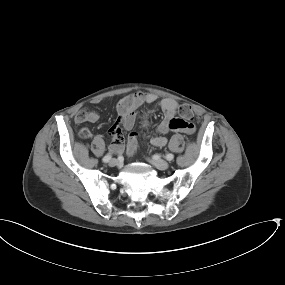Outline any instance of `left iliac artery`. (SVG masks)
Listing matches in <instances>:
<instances>
[{
	"label": "left iliac artery",
	"instance_id": "44dca946",
	"mask_svg": "<svg viewBox=\"0 0 285 285\" xmlns=\"http://www.w3.org/2000/svg\"><path fill=\"white\" fill-rule=\"evenodd\" d=\"M165 158L168 160V161H172L174 159V155L171 154V153H168L166 154Z\"/></svg>",
	"mask_w": 285,
	"mask_h": 285
}]
</instances>
